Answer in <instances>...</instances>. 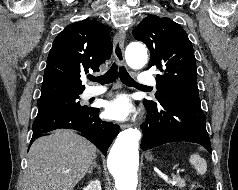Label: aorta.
<instances>
[{
  "instance_id": "aorta-1",
  "label": "aorta",
  "mask_w": 238,
  "mask_h": 190,
  "mask_svg": "<svg viewBox=\"0 0 238 190\" xmlns=\"http://www.w3.org/2000/svg\"><path fill=\"white\" fill-rule=\"evenodd\" d=\"M147 59V49L142 43L132 42L128 45L126 61L131 68L144 67ZM140 138L139 130L128 128L118 135L110 150L107 164L117 190H136Z\"/></svg>"
}]
</instances>
